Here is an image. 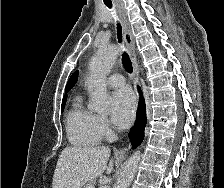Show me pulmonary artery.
Segmentation results:
<instances>
[{
    "mask_svg": "<svg viewBox=\"0 0 224 188\" xmlns=\"http://www.w3.org/2000/svg\"><path fill=\"white\" fill-rule=\"evenodd\" d=\"M106 82L110 87H121L125 83V78L120 74H112L107 78Z\"/></svg>",
    "mask_w": 224,
    "mask_h": 188,
    "instance_id": "1",
    "label": "pulmonary artery"
}]
</instances>
